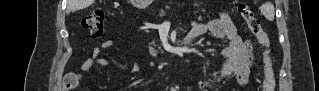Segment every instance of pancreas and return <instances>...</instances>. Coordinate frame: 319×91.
<instances>
[{"mask_svg":"<svg viewBox=\"0 0 319 91\" xmlns=\"http://www.w3.org/2000/svg\"><path fill=\"white\" fill-rule=\"evenodd\" d=\"M164 14H165V12L162 11V12L160 13V16H163ZM149 52H150V54H151L153 57H156L157 51H156L155 49H152V50H150Z\"/></svg>","mask_w":319,"mask_h":91,"instance_id":"1","label":"pancreas"}]
</instances>
